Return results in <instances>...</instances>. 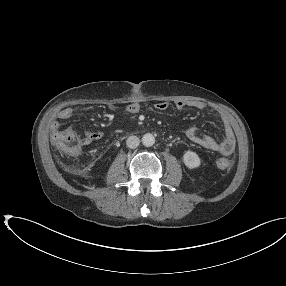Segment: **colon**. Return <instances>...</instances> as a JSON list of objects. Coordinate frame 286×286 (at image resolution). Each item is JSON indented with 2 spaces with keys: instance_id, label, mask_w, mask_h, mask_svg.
<instances>
[{
  "instance_id": "obj_1",
  "label": "colon",
  "mask_w": 286,
  "mask_h": 286,
  "mask_svg": "<svg viewBox=\"0 0 286 286\" xmlns=\"http://www.w3.org/2000/svg\"><path fill=\"white\" fill-rule=\"evenodd\" d=\"M52 141L58 151L66 157H78L83 152V147L87 143L85 135H79L74 131H57L52 136ZM233 165V159L221 158L217 161L220 169H228Z\"/></svg>"
}]
</instances>
